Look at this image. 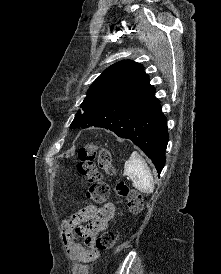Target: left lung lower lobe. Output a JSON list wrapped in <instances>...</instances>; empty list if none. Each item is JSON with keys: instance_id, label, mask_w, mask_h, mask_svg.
<instances>
[{"instance_id": "0a47b994", "label": "left lung lower lobe", "mask_w": 221, "mask_h": 274, "mask_svg": "<svg viewBox=\"0 0 221 274\" xmlns=\"http://www.w3.org/2000/svg\"><path fill=\"white\" fill-rule=\"evenodd\" d=\"M94 118L97 122L90 126L102 127L121 138L130 139L152 160L158 173H161L165 165L169 136L167 119L155 97L153 86L148 84L137 98L96 109Z\"/></svg>"}]
</instances>
